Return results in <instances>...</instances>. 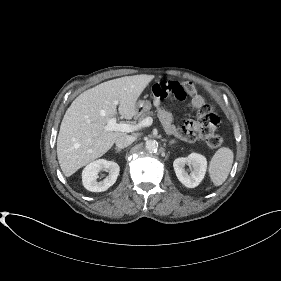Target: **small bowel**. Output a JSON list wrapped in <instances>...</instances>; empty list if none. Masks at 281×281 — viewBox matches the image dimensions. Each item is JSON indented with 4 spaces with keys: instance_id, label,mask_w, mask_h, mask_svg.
I'll return each instance as SVG.
<instances>
[{
    "instance_id": "c3829d8e",
    "label": "small bowel",
    "mask_w": 281,
    "mask_h": 281,
    "mask_svg": "<svg viewBox=\"0 0 281 281\" xmlns=\"http://www.w3.org/2000/svg\"><path fill=\"white\" fill-rule=\"evenodd\" d=\"M191 104L196 109L207 107V103L202 95L196 94L191 99ZM158 116L167 133L176 136L185 141H193L199 138L197 133L200 131V125L193 119L186 120L182 125H176L173 117L160 102H156Z\"/></svg>"
}]
</instances>
